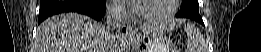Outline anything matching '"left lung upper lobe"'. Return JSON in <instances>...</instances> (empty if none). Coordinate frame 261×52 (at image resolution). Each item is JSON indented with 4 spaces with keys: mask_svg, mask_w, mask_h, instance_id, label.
Instances as JSON below:
<instances>
[{
    "mask_svg": "<svg viewBox=\"0 0 261 52\" xmlns=\"http://www.w3.org/2000/svg\"><path fill=\"white\" fill-rule=\"evenodd\" d=\"M176 17H184L203 23L199 14V3L197 0H182L181 9Z\"/></svg>",
    "mask_w": 261,
    "mask_h": 52,
    "instance_id": "1",
    "label": "left lung upper lobe"
}]
</instances>
